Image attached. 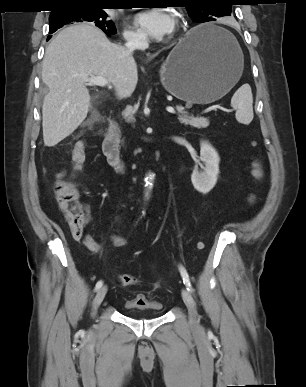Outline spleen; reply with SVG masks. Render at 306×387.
Segmentation results:
<instances>
[{
	"instance_id": "obj_1",
	"label": "spleen",
	"mask_w": 306,
	"mask_h": 387,
	"mask_svg": "<svg viewBox=\"0 0 306 387\" xmlns=\"http://www.w3.org/2000/svg\"><path fill=\"white\" fill-rule=\"evenodd\" d=\"M231 106L236 110V120L248 125L254 117L253 96L249 84L242 85L233 95Z\"/></svg>"
}]
</instances>
